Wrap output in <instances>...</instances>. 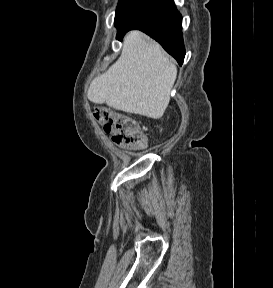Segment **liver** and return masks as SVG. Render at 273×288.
I'll return each mask as SVG.
<instances>
[{"instance_id":"liver-1","label":"liver","mask_w":273,"mask_h":288,"mask_svg":"<svg viewBox=\"0 0 273 288\" xmlns=\"http://www.w3.org/2000/svg\"><path fill=\"white\" fill-rule=\"evenodd\" d=\"M176 76L175 64L160 45L135 30L125 37L119 59L92 81L87 96L96 104L159 119L169 104Z\"/></svg>"}]
</instances>
